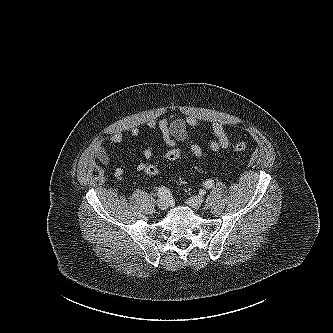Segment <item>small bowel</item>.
Wrapping results in <instances>:
<instances>
[{
	"label": "small bowel",
	"instance_id": "1",
	"mask_svg": "<svg viewBox=\"0 0 333 333\" xmlns=\"http://www.w3.org/2000/svg\"><path fill=\"white\" fill-rule=\"evenodd\" d=\"M148 128L152 133H160L167 150L173 149L178 143L186 144L191 150L192 154L196 159L201 160L203 158L204 152L202 147L192 140L189 136L188 129H198L199 123L197 119L193 116H186L175 119L161 118L158 121H149ZM131 135L137 137L139 135V129L134 127L131 129ZM212 133L214 139L208 141V147L212 152H219L220 150L226 149L231 145V139L228 136L224 126L220 122H214L212 124ZM123 140V133L121 131L115 132L110 137V143L112 145H118ZM154 154V148L152 145L146 146L143 150V157L145 159L152 158ZM96 157L102 164H108L110 161L109 154L105 147L99 146L96 149ZM146 164L140 162L137 164V170L139 172H144ZM124 170L122 167L117 166L114 169V176L116 178L122 177Z\"/></svg>",
	"mask_w": 333,
	"mask_h": 333
}]
</instances>
